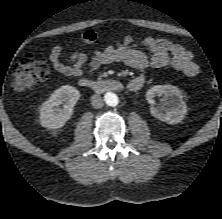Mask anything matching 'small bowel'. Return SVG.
Returning a JSON list of instances; mask_svg holds the SVG:
<instances>
[{"instance_id": "1", "label": "small bowel", "mask_w": 222, "mask_h": 219, "mask_svg": "<svg viewBox=\"0 0 222 219\" xmlns=\"http://www.w3.org/2000/svg\"><path fill=\"white\" fill-rule=\"evenodd\" d=\"M97 40L93 31H86L81 36L84 46H90ZM141 44L147 49L144 52L137 48V41L132 36H125L114 44L96 50L90 58L83 52H73L64 59V49L54 45L49 54L53 68L69 77L81 78L91 74L100 67L121 62L134 69L162 68L170 66L186 76L193 77L199 73V66L191 52L183 46L164 38L145 37ZM132 81L145 82L143 75L136 76Z\"/></svg>"}]
</instances>
